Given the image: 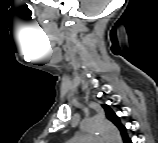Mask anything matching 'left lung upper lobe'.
I'll use <instances>...</instances> for the list:
<instances>
[{"mask_svg":"<svg viewBox=\"0 0 158 143\" xmlns=\"http://www.w3.org/2000/svg\"><path fill=\"white\" fill-rule=\"evenodd\" d=\"M102 107L104 108L106 112V117L117 126L122 136L127 134L125 126L122 125V123L119 120V117L113 112V110L108 105L103 104Z\"/></svg>","mask_w":158,"mask_h":143,"instance_id":"5c2ea615","label":"left lung upper lobe"}]
</instances>
